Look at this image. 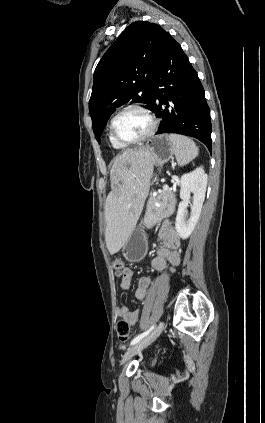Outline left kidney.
Returning a JSON list of instances; mask_svg holds the SVG:
<instances>
[{
    "label": "left kidney",
    "instance_id": "left-kidney-1",
    "mask_svg": "<svg viewBox=\"0 0 265 423\" xmlns=\"http://www.w3.org/2000/svg\"><path fill=\"white\" fill-rule=\"evenodd\" d=\"M207 174L203 167L184 174L180 180V198L175 228L182 239H187L193 232L200 217L202 205L205 199L207 188ZM191 193H193V203L189 218L187 217V207L190 203Z\"/></svg>",
    "mask_w": 265,
    "mask_h": 423
}]
</instances>
